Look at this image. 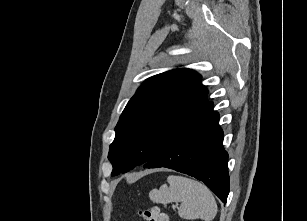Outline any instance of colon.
<instances>
[{
    "label": "colon",
    "instance_id": "obj_1",
    "mask_svg": "<svg viewBox=\"0 0 307 221\" xmlns=\"http://www.w3.org/2000/svg\"><path fill=\"white\" fill-rule=\"evenodd\" d=\"M145 221H169L168 216L158 206H150L139 212Z\"/></svg>",
    "mask_w": 307,
    "mask_h": 221
}]
</instances>
